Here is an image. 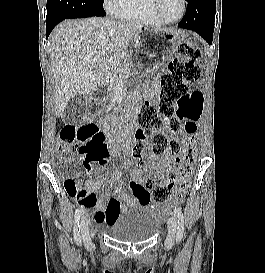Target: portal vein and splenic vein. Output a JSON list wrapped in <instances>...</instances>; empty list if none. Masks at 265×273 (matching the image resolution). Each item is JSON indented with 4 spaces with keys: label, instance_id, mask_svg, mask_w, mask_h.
I'll return each mask as SVG.
<instances>
[{
    "label": "portal vein and splenic vein",
    "instance_id": "18ae733b",
    "mask_svg": "<svg viewBox=\"0 0 265 273\" xmlns=\"http://www.w3.org/2000/svg\"><path fill=\"white\" fill-rule=\"evenodd\" d=\"M99 57V55H96L95 60Z\"/></svg>",
    "mask_w": 265,
    "mask_h": 273
}]
</instances>
